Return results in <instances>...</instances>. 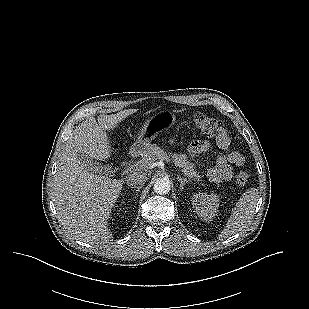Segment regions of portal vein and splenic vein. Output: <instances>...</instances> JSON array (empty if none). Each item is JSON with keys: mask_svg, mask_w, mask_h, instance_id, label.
<instances>
[{"mask_svg": "<svg viewBox=\"0 0 309 309\" xmlns=\"http://www.w3.org/2000/svg\"><path fill=\"white\" fill-rule=\"evenodd\" d=\"M146 165H148V164H145V163H143V162H138V163H136V164H134V165H132V166H130L128 169L129 170H131V169H133V167L134 168H144V167H146Z\"/></svg>", "mask_w": 309, "mask_h": 309, "instance_id": "18ae733b", "label": "portal vein and splenic vein"}]
</instances>
